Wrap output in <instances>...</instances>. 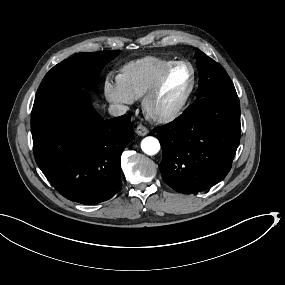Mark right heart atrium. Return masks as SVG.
I'll list each match as a JSON object with an SVG mask.
<instances>
[{
    "mask_svg": "<svg viewBox=\"0 0 285 285\" xmlns=\"http://www.w3.org/2000/svg\"><path fill=\"white\" fill-rule=\"evenodd\" d=\"M103 92L107 102L118 110H123L135 101L124 89L122 84L116 81L113 73H108L103 82Z\"/></svg>",
    "mask_w": 285,
    "mask_h": 285,
    "instance_id": "obj_1",
    "label": "right heart atrium"
}]
</instances>
